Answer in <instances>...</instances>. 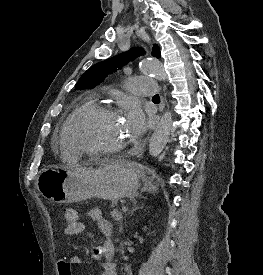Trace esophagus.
I'll use <instances>...</instances> for the list:
<instances>
[{"label": "esophagus", "mask_w": 263, "mask_h": 275, "mask_svg": "<svg viewBox=\"0 0 263 275\" xmlns=\"http://www.w3.org/2000/svg\"><path fill=\"white\" fill-rule=\"evenodd\" d=\"M163 107H164V99L162 98V108L161 109H163Z\"/></svg>", "instance_id": "esophagus-1"}]
</instances>
